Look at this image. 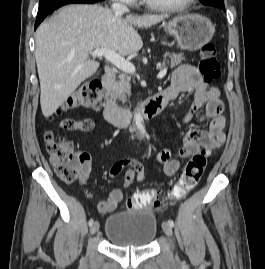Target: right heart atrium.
<instances>
[{
	"instance_id": "d8ad5b80",
	"label": "right heart atrium",
	"mask_w": 265,
	"mask_h": 269,
	"mask_svg": "<svg viewBox=\"0 0 265 269\" xmlns=\"http://www.w3.org/2000/svg\"><path fill=\"white\" fill-rule=\"evenodd\" d=\"M114 1L122 2V3H131L135 0H114Z\"/></svg>"
}]
</instances>
